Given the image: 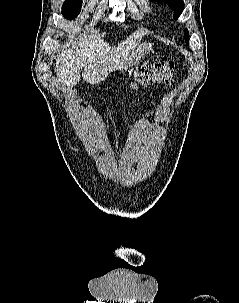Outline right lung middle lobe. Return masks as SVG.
Here are the masks:
<instances>
[{
	"label": "right lung middle lobe",
	"instance_id": "1",
	"mask_svg": "<svg viewBox=\"0 0 239 303\" xmlns=\"http://www.w3.org/2000/svg\"><path fill=\"white\" fill-rule=\"evenodd\" d=\"M81 0H66L62 7V14L66 19L76 18L81 10Z\"/></svg>",
	"mask_w": 239,
	"mask_h": 303
}]
</instances>
